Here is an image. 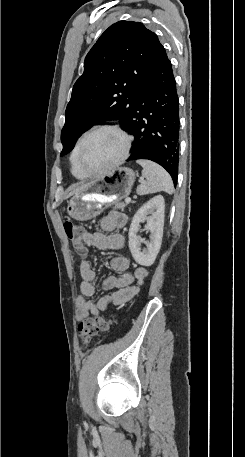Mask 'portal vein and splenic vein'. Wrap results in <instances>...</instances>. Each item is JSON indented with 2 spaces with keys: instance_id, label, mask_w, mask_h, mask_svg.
Masks as SVG:
<instances>
[{
  "instance_id": "obj_1",
  "label": "portal vein and splenic vein",
  "mask_w": 245,
  "mask_h": 457,
  "mask_svg": "<svg viewBox=\"0 0 245 457\" xmlns=\"http://www.w3.org/2000/svg\"><path fill=\"white\" fill-rule=\"evenodd\" d=\"M131 198L130 196H127V198H125V202H130Z\"/></svg>"
}]
</instances>
